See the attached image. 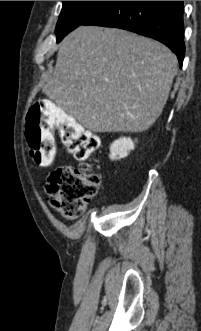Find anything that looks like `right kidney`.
I'll return each instance as SVG.
<instances>
[{
    "label": "right kidney",
    "mask_w": 201,
    "mask_h": 331,
    "mask_svg": "<svg viewBox=\"0 0 201 331\" xmlns=\"http://www.w3.org/2000/svg\"><path fill=\"white\" fill-rule=\"evenodd\" d=\"M135 148L131 138L122 137L115 140L110 146V159L118 160L126 157Z\"/></svg>",
    "instance_id": "right-kidney-1"
}]
</instances>
